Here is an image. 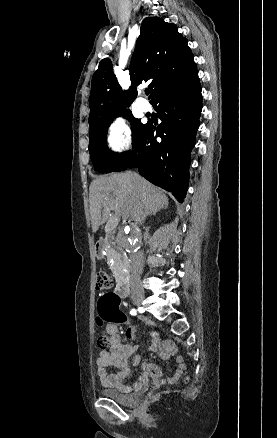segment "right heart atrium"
<instances>
[{"label": "right heart atrium", "instance_id": "right-heart-atrium-1", "mask_svg": "<svg viewBox=\"0 0 277 438\" xmlns=\"http://www.w3.org/2000/svg\"><path fill=\"white\" fill-rule=\"evenodd\" d=\"M109 138L117 149H125L131 143V129L126 119L119 117L109 127Z\"/></svg>", "mask_w": 277, "mask_h": 438}]
</instances>
